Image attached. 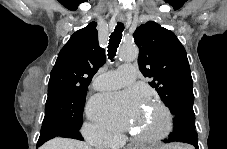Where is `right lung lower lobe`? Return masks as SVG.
Returning a JSON list of instances; mask_svg holds the SVG:
<instances>
[{"instance_id": "1", "label": "right lung lower lobe", "mask_w": 227, "mask_h": 149, "mask_svg": "<svg viewBox=\"0 0 227 149\" xmlns=\"http://www.w3.org/2000/svg\"><path fill=\"white\" fill-rule=\"evenodd\" d=\"M55 137H65V138L83 140V137L79 133V130H69V131H63V132L44 131V132L40 133V137L37 142V147L41 146L46 141H48L52 138H55Z\"/></svg>"}]
</instances>
